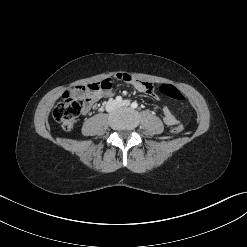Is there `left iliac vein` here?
Listing matches in <instances>:
<instances>
[{
    "label": "left iliac vein",
    "mask_w": 247,
    "mask_h": 247,
    "mask_svg": "<svg viewBox=\"0 0 247 247\" xmlns=\"http://www.w3.org/2000/svg\"><path fill=\"white\" fill-rule=\"evenodd\" d=\"M130 102L128 100H124L123 102L119 103L118 106H129Z\"/></svg>",
    "instance_id": "1"
}]
</instances>
